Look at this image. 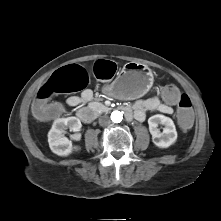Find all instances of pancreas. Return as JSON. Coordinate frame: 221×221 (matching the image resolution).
<instances>
[{"label":"pancreas","mask_w":221,"mask_h":221,"mask_svg":"<svg viewBox=\"0 0 221 221\" xmlns=\"http://www.w3.org/2000/svg\"><path fill=\"white\" fill-rule=\"evenodd\" d=\"M90 108L94 111V112H103L106 108L105 105H103L102 103L99 102H91L90 103Z\"/></svg>","instance_id":"1"}]
</instances>
